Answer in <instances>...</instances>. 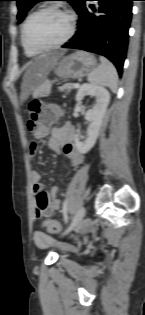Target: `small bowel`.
Listing matches in <instances>:
<instances>
[{
    "mask_svg": "<svg viewBox=\"0 0 145 315\" xmlns=\"http://www.w3.org/2000/svg\"><path fill=\"white\" fill-rule=\"evenodd\" d=\"M49 135V147L57 152H63L70 160L74 167H78L83 162V155L78 151L74 143V131L70 123H66L61 127L48 130L46 128L38 129L34 132L33 137L27 140V147H32L34 152L35 147H40V140ZM38 171L31 172L32 190L36 194V206L34 215L37 220L43 221L45 218L53 215L61 207V201L58 199V186H52L48 194L43 190V185L40 181ZM34 242L42 248L49 247L55 244V239L48 233L38 230L33 234Z\"/></svg>",
    "mask_w": 145,
    "mask_h": 315,
    "instance_id": "1",
    "label": "small bowel"
}]
</instances>
